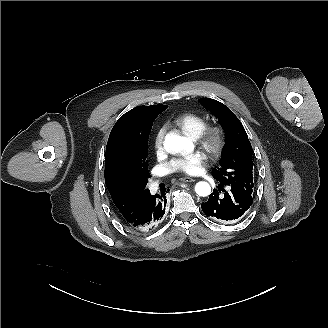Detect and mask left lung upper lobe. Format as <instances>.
Segmentation results:
<instances>
[{
  "instance_id": "1",
  "label": "left lung upper lobe",
  "mask_w": 328,
  "mask_h": 328,
  "mask_svg": "<svg viewBox=\"0 0 328 328\" xmlns=\"http://www.w3.org/2000/svg\"><path fill=\"white\" fill-rule=\"evenodd\" d=\"M200 102L218 118L226 133L220 166L213 169V176L223 185L234 186L252 194V146L242 123L223 103L211 98H201Z\"/></svg>"
}]
</instances>
